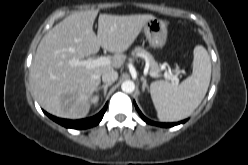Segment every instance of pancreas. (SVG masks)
I'll list each match as a JSON object with an SVG mask.
<instances>
[{"label":"pancreas","mask_w":248,"mask_h":165,"mask_svg":"<svg viewBox=\"0 0 248 165\" xmlns=\"http://www.w3.org/2000/svg\"><path fill=\"white\" fill-rule=\"evenodd\" d=\"M132 55H140L145 57L148 62H149V70L152 73H159L160 72V67L158 65V63L155 61L154 57L148 52L146 51L144 48L142 47H135L132 52Z\"/></svg>","instance_id":"pancreas-1"}]
</instances>
